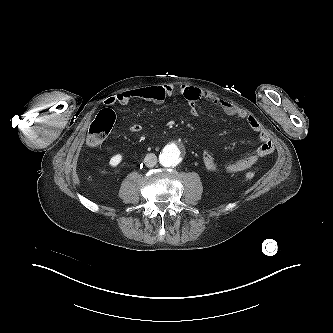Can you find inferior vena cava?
Segmentation results:
<instances>
[{
  "label": "inferior vena cava",
  "mask_w": 333,
  "mask_h": 333,
  "mask_svg": "<svg viewBox=\"0 0 333 333\" xmlns=\"http://www.w3.org/2000/svg\"><path fill=\"white\" fill-rule=\"evenodd\" d=\"M144 162L147 167H154L157 163V156L153 153H149L145 156Z\"/></svg>",
  "instance_id": "602c4592"
}]
</instances>
